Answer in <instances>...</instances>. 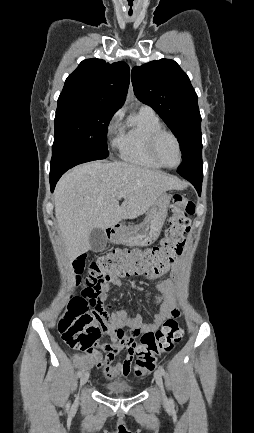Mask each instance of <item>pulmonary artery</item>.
<instances>
[{
    "mask_svg": "<svg viewBox=\"0 0 254 433\" xmlns=\"http://www.w3.org/2000/svg\"><path fill=\"white\" fill-rule=\"evenodd\" d=\"M140 109H142V110H152L149 106H146V105L141 106Z\"/></svg>",
    "mask_w": 254,
    "mask_h": 433,
    "instance_id": "obj_1",
    "label": "pulmonary artery"
}]
</instances>
